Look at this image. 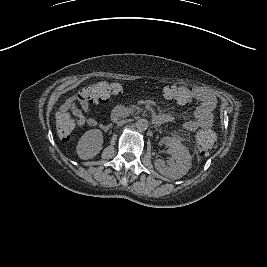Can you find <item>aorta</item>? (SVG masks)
Masks as SVG:
<instances>
[{"label": "aorta", "instance_id": "1", "mask_svg": "<svg viewBox=\"0 0 267 267\" xmlns=\"http://www.w3.org/2000/svg\"><path fill=\"white\" fill-rule=\"evenodd\" d=\"M135 126L139 131H145L148 128V121L144 118H140L136 121Z\"/></svg>", "mask_w": 267, "mask_h": 267}]
</instances>
